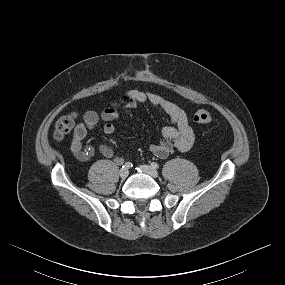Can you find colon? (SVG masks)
<instances>
[{"instance_id":"colon-1","label":"colon","mask_w":285,"mask_h":285,"mask_svg":"<svg viewBox=\"0 0 285 285\" xmlns=\"http://www.w3.org/2000/svg\"><path fill=\"white\" fill-rule=\"evenodd\" d=\"M194 121L200 124H207L211 122V113L206 109H199L193 115ZM75 125V115L68 114L58 120L55 126L54 137L61 140L71 133Z\"/></svg>"}]
</instances>
